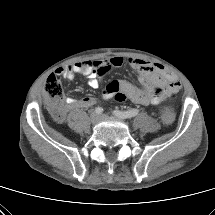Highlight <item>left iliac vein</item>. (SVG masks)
<instances>
[{"label": "left iliac vein", "mask_w": 215, "mask_h": 215, "mask_svg": "<svg viewBox=\"0 0 215 215\" xmlns=\"http://www.w3.org/2000/svg\"><path fill=\"white\" fill-rule=\"evenodd\" d=\"M108 118H110V117L108 115H106V114H103V115L100 116V119H108Z\"/></svg>", "instance_id": "4c4485c4"}]
</instances>
